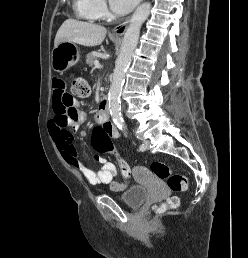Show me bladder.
<instances>
[{
	"instance_id": "31cf9c89",
	"label": "bladder",
	"mask_w": 248,
	"mask_h": 258,
	"mask_svg": "<svg viewBox=\"0 0 248 258\" xmlns=\"http://www.w3.org/2000/svg\"><path fill=\"white\" fill-rule=\"evenodd\" d=\"M148 197V190L144 186L135 185L123 192L119 198L130 208H138Z\"/></svg>"
}]
</instances>
